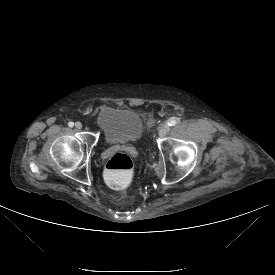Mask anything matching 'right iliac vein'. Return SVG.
Here are the masks:
<instances>
[{
	"label": "right iliac vein",
	"instance_id": "63e3f726",
	"mask_svg": "<svg viewBox=\"0 0 275 275\" xmlns=\"http://www.w3.org/2000/svg\"><path fill=\"white\" fill-rule=\"evenodd\" d=\"M75 127H76L77 129H81V128H82L81 122L77 121V122L75 123Z\"/></svg>",
	"mask_w": 275,
	"mask_h": 275
}]
</instances>
